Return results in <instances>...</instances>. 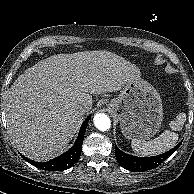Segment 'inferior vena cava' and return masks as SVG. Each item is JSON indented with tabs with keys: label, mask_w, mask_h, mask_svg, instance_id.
<instances>
[{
	"label": "inferior vena cava",
	"mask_w": 194,
	"mask_h": 194,
	"mask_svg": "<svg viewBox=\"0 0 194 194\" xmlns=\"http://www.w3.org/2000/svg\"><path fill=\"white\" fill-rule=\"evenodd\" d=\"M79 111H81V112H84L85 111V106L84 105H79Z\"/></svg>",
	"instance_id": "inferior-vena-cava-1"
}]
</instances>
